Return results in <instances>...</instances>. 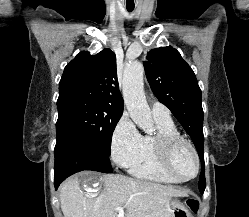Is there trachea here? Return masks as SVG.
<instances>
[{
  "label": "trachea",
  "instance_id": "3493384b",
  "mask_svg": "<svg viewBox=\"0 0 249 217\" xmlns=\"http://www.w3.org/2000/svg\"><path fill=\"white\" fill-rule=\"evenodd\" d=\"M128 12H132L134 9V6H126Z\"/></svg>",
  "mask_w": 249,
  "mask_h": 217
}]
</instances>
